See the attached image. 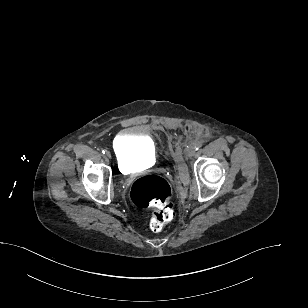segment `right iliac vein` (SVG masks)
<instances>
[{
	"mask_svg": "<svg viewBox=\"0 0 308 308\" xmlns=\"http://www.w3.org/2000/svg\"><path fill=\"white\" fill-rule=\"evenodd\" d=\"M105 156L108 157V158H111L110 152H109V151H106Z\"/></svg>",
	"mask_w": 308,
	"mask_h": 308,
	"instance_id": "obj_1",
	"label": "right iliac vein"
}]
</instances>
